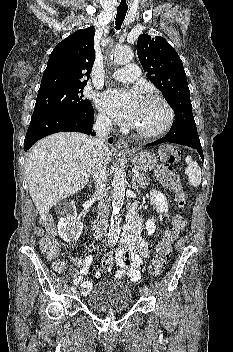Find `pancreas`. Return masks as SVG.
I'll return each instance as SVG.
<instances>
[{"label": "pancreas", "mask_w": 233, "mask_h": 352, "mask_svg": "<svg viewBox=\"0 0 233 352\" xmlns=\"http://www.w3.org/2000/svg\"><path fill=\"white\" fill-rule=\"evenodd\" d=\"M149 181H150L149 177L144 174L136 178V182L140 187H146V185L149 184Z\"/></svg>", "instance_id": "1"}]
</instances>
